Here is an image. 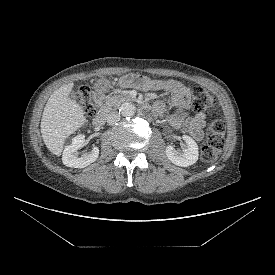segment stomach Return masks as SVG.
Wrapping results in <instances>:
<instances>
[{"label":"stomach","instance_id":"1","mask_svg":"<svg viewBox=\"0 0 275 275\" xmlns=\"http://www.w3.org/2000/svg\"><path fill=\"white\" fill-rule=\"evenodd\" d=\"M109 87H110V83L106 79H99L95 83V90L97 93H103V92L107 91L109 89Z\"/></svg>","mask_w":275,"mask_h":275}]
</instances>
